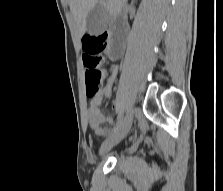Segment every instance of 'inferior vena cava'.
<instances>
[{
  "instance_id": "1",
  "label": "inferior vena cava",
  "mask_w": 223,
  "mask_h": 191,
  "mask_svg": "<svg viewBox=\"0 0 223 191\" xmlns=\"http://www.w3.org/2000/svg\"><path fill=\"white\" fill-rule=\"evenodd\" d=\"M127 7V5H126V3L124 4V8H126Z\"/></svg>"
}]
</instances>
